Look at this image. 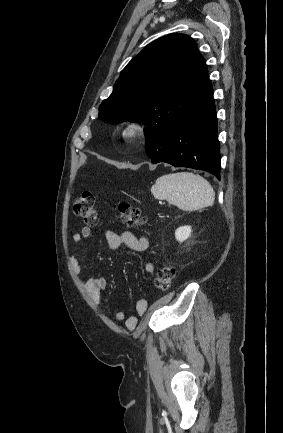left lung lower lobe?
Returning a JSON list of instances; mask_svg holds the SVG:
<instances>
[{"mask_svg": "<svg viewBox=\"0 0 283 433\" xmlns=\"http://www.w3.org/2000/svg\"><path fill=\"white\" fill-rule=\"evenodd\" d=\"M201 106L191 116L154 127L146 135L152 163L205 170L220 179V152L213 89L207 69L201 79Z\"/></svg>", "mask_w": 283, "mask_h": 433, "instance_id": "left-lung-lower-lobe-1", "label": "left lung lower lobe"}]
</instances>
